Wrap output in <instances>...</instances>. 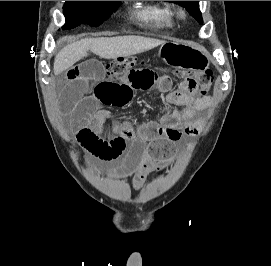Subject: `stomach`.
Here are the masks:
<instances>
[{
    "label": "stomach",
    "instance_id": "stomach-1",
    "mask_svg": "<svg viewBox=\"0 0 271 266\" xmlns=\"http://www.w3.org/2000/svg\"><path fill=\"white\" fill-rule=\"evenodd\" d=\"M158 56L175 69L204 70L210 63L203 48L191 42H165L161 45Z\"/></svg>",
    "mask_w": 271,
    "mask_h": 266
}]
</instances>
